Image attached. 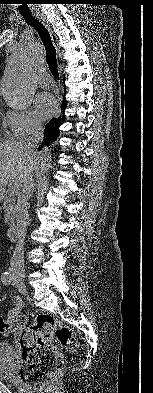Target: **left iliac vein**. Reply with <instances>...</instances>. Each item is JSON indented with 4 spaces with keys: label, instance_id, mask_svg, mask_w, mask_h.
<instances>
[{
    "label": "left iliac vein",
    "instance_id": "4c4485c4",
    "mask_svg": "<svg viewBox=\"0 0 153 393\" xmlns=\"http://www.w3.org/2000/svg\"><path fill=\"white\" fill-rule=\"evenodd\" d=\"M13 286H14L17 290H19L21 293H25V292H26L25 286L22 285V284H19V283L16 282V281L13 282Z\"/></svg>",
    "mask_w": 153,
    "mask_h": 393
}]
</instances>
